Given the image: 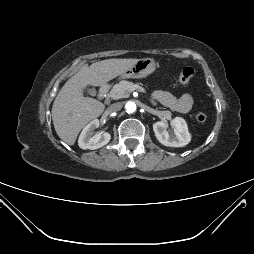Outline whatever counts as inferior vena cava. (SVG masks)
<instances>
[{
    "mask_svg": "<svg viewBox=\"0 0 254 254\" xmlns=\"http://www.w3.org/2000/svg\"><path fill=\"white\" fill-rule=\"evenodd\" d=\"M121 108H122V104L121 103H114V104H111L107 108V112L108 113H114V112H117V111L121 110Z\"/></svg>",
    "mask_w": 254,
    "mask_h": 254,
    "instance_id": "obj_1",
    "label": "inferior vena cava"
}]
</instances>
